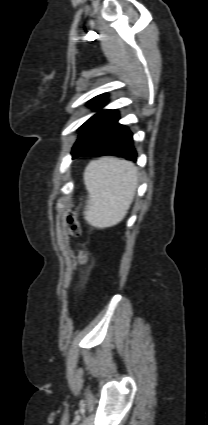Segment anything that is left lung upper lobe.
<instances>
[{
	"mask_svg": "<svg viewBox=\"0 0 208 425\" xmlns=\"http://www.w3.org/2000/svg\"><path fill=\"white\" fill-rule=\"evenodd\" d=\"M106 94H102L99 95L95 98H93L92 100L89 101L88 105L89 106H93L94 110H100L105 104H106ZM100 114V112H98L97 114H95L94 116H92L89 120H87L80 128L79 130H83L88 124H90L98 115ZM82 150V145L80 143L79 140H77V142L75 143L74 147H73V151L71 152V154L73 155V157H77L80 155V152Z\"/></svg>",
	"mask_w": 208,
	"mask_h": 425,
	"instance_id": "left-lung-upper-lobe-1",
	"label": "left lung upper lobe"
}]
</instances>
